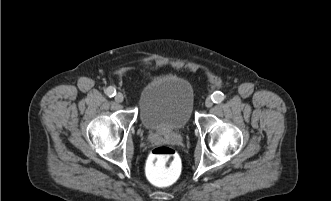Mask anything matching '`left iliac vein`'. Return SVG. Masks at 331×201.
<instances>
[{
  "mask_svg": "<svg viewBox=\"0 0 331 201\" xmlns=\"http://www.w3.org/2000/svg\"><path fill=\"white\" fill-rule=\"evenodd\" d=\"M205 106H206L207 108H210V107L213 106V100H212L210 97H208V98L205 100Z\"/></svg>",
  "mask_w": 331,
  "mask_h": 201,
  "instance_id": "4c4485c4",
  "label": "left iliac vein"
}]
</instances>
